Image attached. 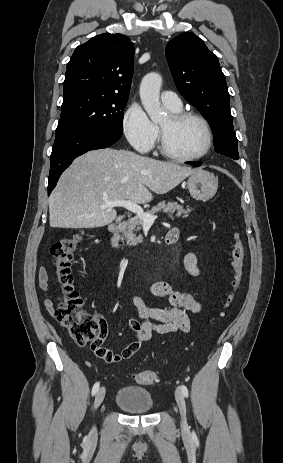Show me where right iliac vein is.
<instances>
[{"label":"right iliac vein","mask_w":283,"mask_h":463,"mask_svg":"<svg viewBox=\"0 0 283 463\" xmlns=\"http://www.w3.org/2000/svg\"><path fill=\"white\" fill-rule=\"evenodd\" d=\"M104 397H105V388L104 387H101L97 393H96V396H95V401H94V408L97 409L101 403L103 402L104 400ZM97 431H96V427L93 426L92 427V430H91V434L92 435H96Z\"/></svg>","instance_id":"obj_1"}]
</instances>
